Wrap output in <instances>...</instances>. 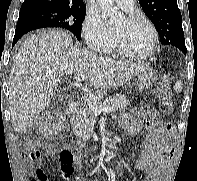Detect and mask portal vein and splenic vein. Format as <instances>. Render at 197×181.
Segmentation results:
<instances>
[{"mask_svg":"<svg viewBox=\"0 0 197 181\" xmlns=\"http://www.w3.org/2000/svg\"><path fill=\"white\" fill-rule=\"evenodd\" d=\"M49 73L52 74L53 72H49ZM75 79L77 81H83L86 79V75L83 73L76 74ZM83 99L87 102L88 107L94 112L95 116H98L101 113L106 114V113H111V112L116 111V109L111 106H98L91 99H88L86 95H84Z\"/></svg>","mask_w":197,"mask_h":181,"instance_id":"18ae733b","label":"portal vein and splenic vein"}]
</instances>
